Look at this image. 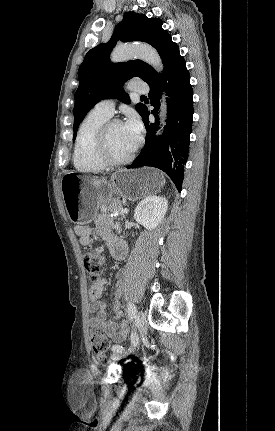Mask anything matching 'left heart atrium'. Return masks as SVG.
Instances as JSON below:
<instances>
[{
	"instance_id": "1",
	"label": "left heart atrium",
	"mask_w": 275,
	"mask_h": 431,
	"mask_svg": "<svg viewBox=\"0 0 275 431\" xmlns=\"http://www.w3.org/2000/svg\"><path fill=\"white\" fill-rule=\"evenodd\" d=\"M124 137L132 150H134L140 141L142 133V124L139 117L132 113L122 124Z\"/></svg>"
}]
</instances>
